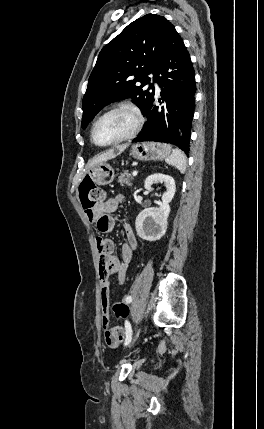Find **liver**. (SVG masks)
Returning <instances> with one entry per match:
<instances>
[{"label": "liver", "mask_w": 264, "mask_h": 429, "mask_svg": "<svg viewBox=\"0 0 264 429\" xmlns=\"http://www.w3.org/2000/svg\"><path fill=\"white\" fill-rule=\"evenodd\" d=\"M127 147H128L127 144L120 145L115 148H111L106 152L94 157L90 163V167H93L96 164L115 158L117 155L121 154Z\"/></svg>", "instance_id": "liver-1"}]
</instances>
